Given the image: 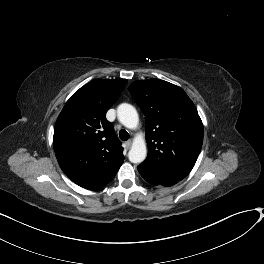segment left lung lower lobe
<instances>
[{
  "label": "left lung lower lobe",
  "mask_w": 264,
  "mask_h": 264,
  "mask_svg": "<svg viewBox=\"0 0 264 264\" xmlns=\"http://www.w3.org/2000/svg\"><path fill=\"white\" fill-rule=\"evenodd\" d=\"M139 173L141 174V176L150 184L154 185V186H172L174 184H176L177 182H179L180 180H176V179H172V178H167V177H163L160 176L158 174H155L153 172H151L150 170L142 167V166H138L137 167Z\"/></svg>",
  "instance_id": "0a47b994"
}]
</instances>
